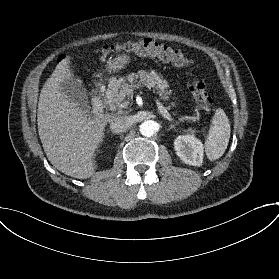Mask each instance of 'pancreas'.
<instances>
[{
	"instance_id": "pancreas-1",
	"label": "pancreas",
	"mask_w": 279,
	"mask_h": 279,
	"mask_svg": "<svg viewBox=\"0 0 279 279\" xmlns=\"http://www.w3.org/2000/svg\"><path fill=\"white\" fill-rule=\"evenodd\" d=\"M139 79V83L155 88L157 93L163 100H167L170 95L168 82L158 75L155 71L147 72L139 70L137 73H131L126 77L119 78L115 83L111 84L105 92L104 103L109 106L110 110L127 108L130 97L134 92V81ZM191 119L190 117H181L179 121ZM178 123V122H176Z\"/></svg>"
}]
</instances>
